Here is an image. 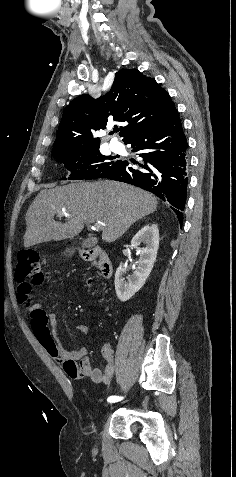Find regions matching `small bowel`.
<instances>
[{"mask_svg": "<svg viewBox=\"0 0 236 477\" xmlns=\"http://www.w3.org/2000/svg\"><path fill=\"white\" fill-rule=\"evenodd\" d=\"M27 309L31 329L37 341L69 377L74 380L89 378L94 383L109 384L111 382L115 367L110 344H105L101 350L102 357L106 361L104 371L93 368L87 356L86 346L67 349L60 343L56 332L57 318L54 313L45 311L40 303H29ZM75 331L87 336L90 328L87 325H77Z\"/></svg>", "mask_w": 236, "mask_h": 477, "instance_id": "small-bowel-1", "label": "small bowel"}]
</instances>
